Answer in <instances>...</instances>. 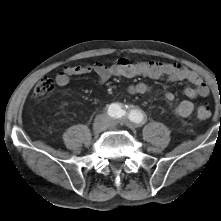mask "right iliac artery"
I'll return each instance as SVG.
<instances>
[{
  "instance_id": "82829eb1",
  "label": "right iliac artery",
  "mask_w": 221,
  "mask_h": 221,
  "mask_svg": "<svg viewBox=\"0 0 221 221\" xmlns=\"http://www.w3.org/2000/svg\"><path fill=\"white\" fill-rule=\"evenodd\" d=\"M107 114L114 118H120L125 115V111L120 105L114 103L108 106Z\"/></svg>"
}]
</instances>
